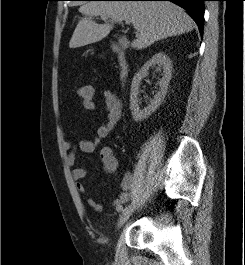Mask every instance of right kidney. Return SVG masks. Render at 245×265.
<instances>
[{"mask_svg":"<svg viewBox=\"0 0 245 265\" xmlns=\"http://www.w3.org/2000/svg\"><path fill=\"white\" fill-rule=\"evenodd\" d=\"M158 66V69H163V77L158 82L159 91L144 109H140L139 105V87L141 80L148 76V71L151 67ZM172 65L170 58L162 52L156 53L149 59L138 73L133 77L130 92V110L134 121H142L148 118L162 103L167 93L168 85L171 79Z\"/></svg>","mask_w":245,"mask_h":265,"instance_id":"ca27d5eb","label":"right kidney"}]
</instances>
